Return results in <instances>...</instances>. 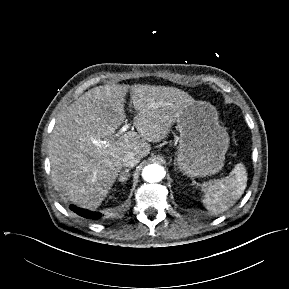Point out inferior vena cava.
I'll return each instance as SVG.
<instances>
[{
	"instance_id": "602c4592",
	"label": "inferior vena cava",
	"mask_w": 289,
	"mask_h": 289,
	"mask_svg": "<svg viewBox=\"0 0 289 289\" xmlns=\"http://www.w3.org/2000/svg\"><path fill=\"white\" fill-rule=\"evenodd\" d=\"M141 160L139 155H136L133 152H128L123 158V166L124 167H134L136 166Z\"/></svg>"
}]
</instances>
